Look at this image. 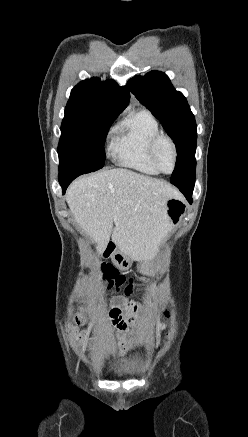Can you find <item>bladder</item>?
<instances>
[{
  "instance_id": "31cf9c89",
  "label": "bladder",
  "mask_w": 248,
  "mask_h": 437,
  "mask_svg": "<svg viewBox=\"0 0 248 437\" xmlns=\"http://www.w3.org/2000/svg\"><path fill=\"white\" fill-rule=\"evenodd\" d=\"M136 362H125L115 366L111 373L117 377H132L139 373L138 362H142L145 359L143 354H140L137 357Z\"/></svg>"
}]
</instances>
